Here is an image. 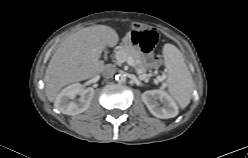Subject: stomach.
<instances>
[{
    "label": "stomach",
    "mask_w": 248,
    "mask_h": 158,
    "mask_svg": "<svg viewBox=\"0 0 248 158\" xmlns=\"http://www.w3.org/2000/svg\"><path fill=\"white\" fill-rule=\"evenodd\" d=\"M127 39H128V41L130 43H132V40H131V36L130 35L128 36ZM144 58H145V61H146V67L147 68L154 67L155 64H154V60L152 58V53L144 54Z\"/></svg>",
    "instance_id": "1"
}]
</instances>
